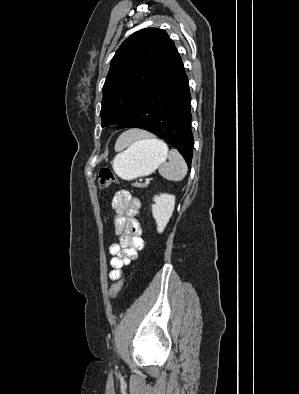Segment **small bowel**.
<instances>
[{
    "mask_svg": "<svg viewBox=\"0 0 299 394\" xmlns=\"http://www.w3.org/2000/svg\"><path fill=\"white\" fill-rule=\"evenodd\" d=\"M140 207V200L126 190L117 191L112 199L114 233L119 237V241L109 246L112 255L110 265L113 268L110 273L111 280L120 277L122 268L136 259L145 246L138 221Z\"/></svg>",
    "mask_w": 299,
    "mask_h": 394,
    "instance_id": "small-bowel-1",
    "label": "small bowel"
}]
</instances>
